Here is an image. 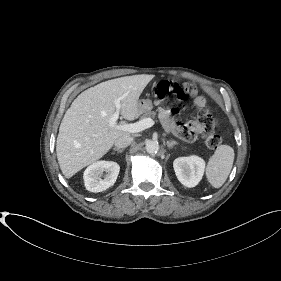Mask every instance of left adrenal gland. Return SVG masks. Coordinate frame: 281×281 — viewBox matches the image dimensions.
Wrapping results in <instances>:
<instances>
[{
	"instance_id": "left-adrenal-gland-1",
	"label": "left adrenal gland",
	"mask_w": 281,
	"mask_h": 281,
	"mask_svg": "<svg viewBox=\"0 0 281 281\" xmlns=\"http://www.w3.org/2000/svg\"><path fill=\"white\" fill-rule=\"evenodd\" d=\"M166 144L169 148H173L175 145H178V143L174 140L166 141Z\"/></svg>"
}]
</instances>
